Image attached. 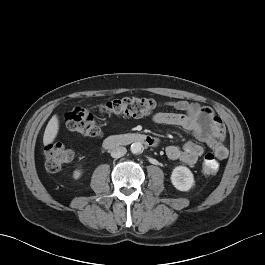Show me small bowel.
Here are the masks:
<instances>
[{
  "instance_id": "c3829d8e",
  "label": "small bowel",
  "mask_w": 265,
  "mask_h": 265,
  "mask_svg": "<svg viewBox=\"0 0 265 265\" xmlns=\"http://www.w3.org/2000/svg\"><path fill=\"white\" fill-rule=\"evenodd\" d=\"M165 105L178 111V113L159 112L153 120L157 124L180 127L191 133L199 142L206 143L219 159L228 156L227 148L222 144L225 128L209 107L186 100L169 101ZM203 153V147L196 142H187L182 147L170 145L166 154L171 160H179L187 165H193Z\"/></svg>"
}]
</instances>
